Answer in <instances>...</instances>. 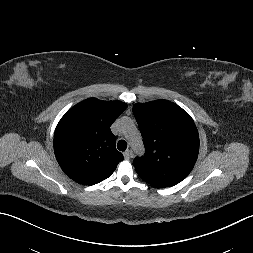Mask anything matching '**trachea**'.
Segmentation results:
<instances>
[{
    "instance_id": "trachea-1",
    "label": "trachea",
    "mask_w": 253,
    "mask_h": 253,
    "mask_svg": "<svg viewBox=\"0 0 253 253\" xmlns=\"http://www.w3.org/2000/svg\"><path fill=\"white\" fill-rule=\"evenodd\" d=\"M117 148H118V150H120V151H125L126 148H127V143H126V141H124V140H119L118 143H117Z\"/></svg>"
}]
</instances>
